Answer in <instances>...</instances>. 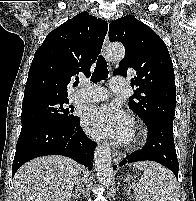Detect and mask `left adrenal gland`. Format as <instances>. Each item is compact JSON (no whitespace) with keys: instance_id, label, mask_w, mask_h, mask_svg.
<instances>
[{"instance_id":"1","label":"left adrenal gland","mask_w":196,"mask_h":201,"mask_svg":"<svg viewBox=\"0 0 196 201\" xmlns=\"http://www.w3.org/2000/svg\"><path fill=\"white\" fill-rule=\"evenodd\" d=\"M130 180H131V179H130V176L126 177L125 180H124V182H127V183H128V186H127V189H126L127 194L129 193L128 188H129V185H130Z\"/></svg>"}]
</instances>
